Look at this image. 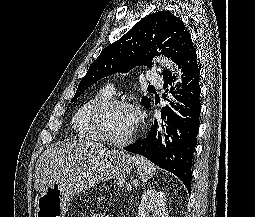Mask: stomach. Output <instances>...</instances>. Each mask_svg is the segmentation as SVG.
<instances>
[{
  "label": "stomach",
  "mask_w": 255,
  "mask_h": 217,
  "mask_svg": "<svg viewBox=\"0 0 255 217\" xmlns=\"http://www.w3.org/2000/svg\"><path fill=\"white\" fill-rule=\"evenodd\" d=\"M133 166L132 158L124 151H106L101 158L41 191L36 199V217H64L75 194L102 180L124 179Z\"/></svg>",
  "instance_id": "1"
}]
</instances>
